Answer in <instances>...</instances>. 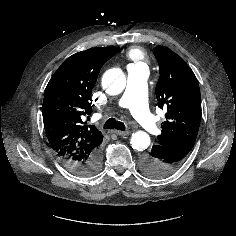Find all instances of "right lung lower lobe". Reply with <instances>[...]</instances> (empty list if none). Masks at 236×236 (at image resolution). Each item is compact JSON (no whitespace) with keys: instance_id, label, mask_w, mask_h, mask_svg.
<instances>
[{"instance_id":"right-lung-lower-lobe-1","label":"right lung lower lobe","mask_w":236,"mask_h":236,"mask_svg":"<svg viewBox=\"0 0 236 236\" xmlns=\"http://www.w3.org/2000/svg\"><path fill=\"white\" fill-rule=\"evenodd\" d=\"M102 152L100 149L95 150L87 160L79 162H64V166L72 173L79 176H91L97 173L102 166Z\"/></svg>"}]
</instances>
